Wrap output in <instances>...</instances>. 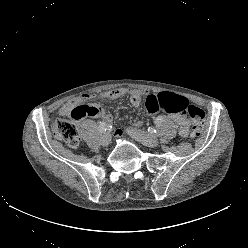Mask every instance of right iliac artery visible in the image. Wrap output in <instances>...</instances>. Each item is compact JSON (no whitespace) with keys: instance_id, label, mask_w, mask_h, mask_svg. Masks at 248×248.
<instances>
[{"instance_id":"82829eb1","label":"right iliac artery","mask_w":248,"mask_h":248,"mask_svg":"<svg viewBox=\"0 0 248 248\" xmlns=\"http://www.w3.org/2000/svg\"><path fill=\"white\" fill-rule=\"evenodd\" d=\"M107 128H108V125L105 122H100L99 123L98 129H99L100 133L106 132Z\"/></svg>"}]
</instances>
